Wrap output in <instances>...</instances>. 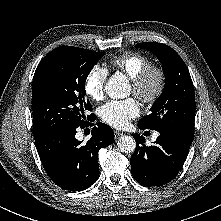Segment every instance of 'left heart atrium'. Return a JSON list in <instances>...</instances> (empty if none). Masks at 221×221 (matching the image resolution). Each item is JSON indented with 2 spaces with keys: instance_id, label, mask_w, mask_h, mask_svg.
Returning a JSON list of instances; mask_svg holds the SVG:
<instances>
[{
  "instance_id": "1",
  "label": "left heart atrium",
  "mask_w": 221,
  "mask_h": 221,
  "mask_svg": "<svg viewBox=\"0 0 221 221\" xmlns=\"http://www.w3.org/2000/svg\"><path fill=\"white\" fill-rule=\"evenodd\" d=\"M99 117L114 128H124L129 122L138 117L140 108L133 98L111 100L98 109Z\"/></svg>"
}]
</instances>
